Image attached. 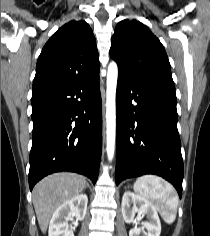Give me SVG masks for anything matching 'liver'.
<instances>
[{"instance_id": "obj_1", "label": "liver", "mask_w": 210, "mask_h": 236, "mask_svg": "<svg viewBox=\"0 0 210 236\" xmlns=\"http://www.w3.org/2000/svg\"><path fill=\"white\" fill-rule=\"evenodd\" d=\"M86 178L75 173H55L38 182L33 189V205L42 233L54 211L64 202L79 195L86 187Z\"/></svg>"}]
</instances>
